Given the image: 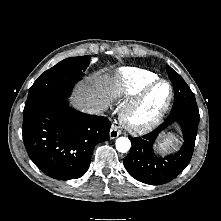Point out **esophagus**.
Listing matches in <instances>:
<instances>
[{"label": "esophagus", "instance_id": "34e87169", "mask_svg": "<svg viewBox=\"0 0 221 221\" xmlns=\"http://www.w3.org/2000/svg\"><path fill=\"white\" fill-rule=\"evenodd\" d=\"M121 131L117 128V126L113 125L110 129L109 136L110 139H115L120 135Z\"/></svg>", "mask_w": 221, "mask_h": 221}]
</instances>
